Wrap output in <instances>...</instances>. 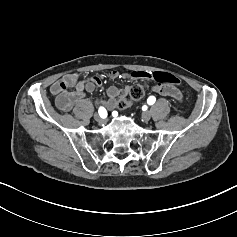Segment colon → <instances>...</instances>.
I'll use <instances>...</instances> for the list:
<instances>
[{
  "mask_svg": "<svg viewBox=\"0 0 237 237\" xmlns=\"http://www.w3.org/2000/svg\"><path fill=\"white\" fill-rule=\"evenodd\" d=\"M153 79L160 84H174L180 85L181 81L178 77L167 72H150L149 78ZM148 88L147 82H141L130 86L124 97L118 101V108L126 109L133 101L141 99Z\"/></svg>",
  "mask_w": 237,
  "mask_h": 237,
  "instance_id": "colon-1",
  "label": "colon"
}]
</instances>
